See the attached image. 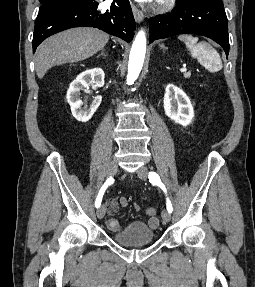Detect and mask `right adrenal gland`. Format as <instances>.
<instances>
[{"mask_svg":"<svg viewBox=\"0 0 255 287\" xmlns=\"http://www.w3.org/2000/svg\"><path fill=\"white\" fill-rule=\"evenodd\" d=\"M100 56H108V54H104V50H103V52H101V54H99V56H96V58H100Z\"/></svg>","mask_w":255,"mask_h":287,"instance_id":"1","label":"right adrenal gland"}]
</instances>
